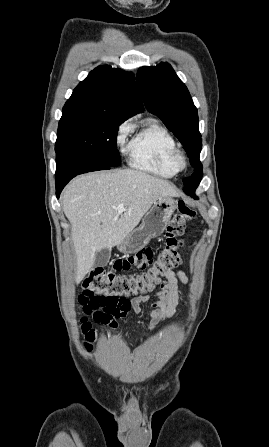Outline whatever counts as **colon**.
Listing matches in <instances>:
<instances>
[{"label":"colon","instance_id":"1","mask_svg":"<svg viewBox=\"0 0 269 447\" xmlns=\"http://www.w3.org/2000/svg\"><path fill=\"white\" fill-rule=\"evenodd\" d=\"M196 210L185 203L178 208L169 221L165 233V248L158 252L148 249L128 253L127 257H116L104 270L103 266H93L92 272L83 280V294L79 304L86 315L98 322H109L112 317L125 318V308L129 307L132 296L152 292L167 274L182 261L181 249L184 246L182 235L186 227L197 222ZM120 271H141L131 276H121ZM90 295L93 296L90 299ZM101 295V298L100 296ZM105 307V314L98 311ZM112 312L114 314H112ZM81 331L89 349V343L96 338L95 328L90 320L83 316L80 319ZM110 330L118 328L117 323L109 325Z\"/></svg>","mask_w":269,"mask_h":447}]
</instances>
